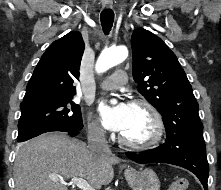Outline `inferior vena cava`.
<instances>
[{
	"label": "inferior vena cava",
	"instance_id": "1",
	"mask_svg": "<svg viewBox=\"0 0 221 190\" xmlns=\"http://www.w3.org/2000/svg\"><path fill=\"white\" fill-rule=\"evenodd\" d=\"M88 149L98 157H106L111 155V150L108 146L105 131L100 126H95L88 131Z\"/></svg>",
	"mask_w": 221,
	"mask_h": 190
}]
</instances>
